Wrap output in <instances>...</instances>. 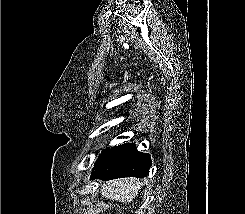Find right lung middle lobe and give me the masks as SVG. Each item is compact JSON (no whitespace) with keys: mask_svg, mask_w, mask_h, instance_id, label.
I'll return each instance as SVG.
<instances>
[{"mask_svg":"<svg viewBox=\"0 0 245 214\" xmlns=\"http://www.w3.org/2000/svg\"><path fill=\"white\" fill-rule=\"evenodd\" d=\"M118 147H114L111 149L107 148L102 151L92 170V176L111 172L118 167V161L120 157Z\"/></svg>","mask_w":245,"mask_h":214,"instance_id":"dd1d6c3e","label":"right lung middle lobe"}]
</instances>
